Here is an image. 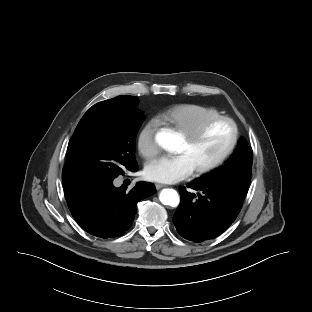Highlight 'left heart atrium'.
Returning a JSON list of instances; mask_svg holds the SVG:
<instances>
[{
    "instance_id": "left-heart-atrium-1",
    "label": "left heart atrium",
    "mask_w": 312,
    "mask_h": 312,
    "mask_svg": "<svg viewBox=\"0 0 312 312\" xmlns=\"http://www.w3.org/2000/svg\"><path fill=\"white\" fill-rule=\"evenodd\" d=\"M194 166L187 154L163 156L145 168L146 179L160 183H175L190 176Z\"/></svg>"
}]
</instances>
